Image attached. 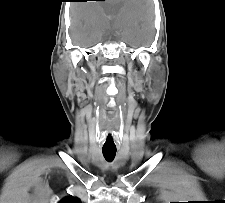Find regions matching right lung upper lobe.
I'll return each instance as SVG.
<instances>
[{
    "label": "right lung upper lobe",
    "instance_id": "1",
    "mask_svg": "<svg viewBox=\"0 0 225 203\" xmlns=\"http://www.w3.org/2000/svg\"><path fill=\"white\" fill-rule=\"evenodd\" d=\"M59 203H81V201L78 198L71 196L64 198Z\"/></svg>",
    "mask_w": 225,
    "mask_h": 203
}]
</instances>
